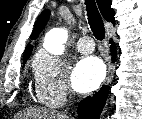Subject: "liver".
I'll return each mask as SVG.
<instances>
[{"label": "liver", "mask_w": 142, "mask_h": 119, "mask_svg": "<svg viewBox=\"0 0 142 119\" xmlns=\"http://www.w3.org/2000/svg\"><path fill=\"white\" fill-rule=\"evenodd\" d=\"M23 119H69L65 114L57 113L49 110L28 109L21 116Z\"/></svg>", "instance_id": "6515ba94"}]
</instances>
